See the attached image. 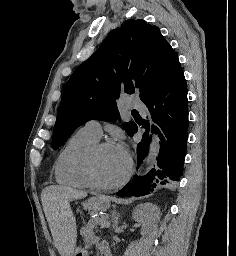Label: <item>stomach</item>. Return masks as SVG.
I'll return each mask as SVG.
<instances>
[{"mask_svg":"<svg viewBox=\"0 0 236 256\" xmlns=\"http://www.w3.org/2000/svg\"><path fill=\"white\" fill-rule=\"evenodd\" d=\"M85 209L93 212L106 211L110 207V202L105 197H92L83 203ZM72 256H88L86 249L77 247Z\"/></svg>","mask_w":236,"mask_h":256,"instance_id":"stomach-1","label":"stomach"}]
</instances>
